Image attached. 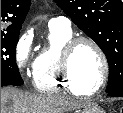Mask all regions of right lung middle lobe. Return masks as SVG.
Instances as JSON below:
<instances>
[{
  "label": "right lung middle lobe",
  "instance_id": "1",
  "mask_svg": "<svg viewBox=\"0 0 123 113\" xmlns=\"http://www.w3.org/2000/svg\"><path fill=\"white\" fill-rule=\"evenodd\" d=\"M18 37L19 34L1 35V87L23 84V79L16 64Z\"/></svg>",
  "mask_w": 123,
  "mask_h": 113
}]
</instances>
